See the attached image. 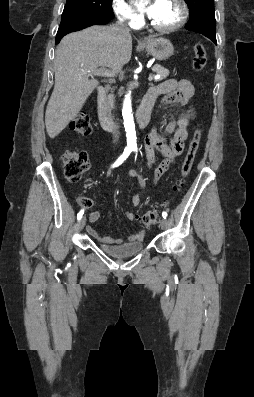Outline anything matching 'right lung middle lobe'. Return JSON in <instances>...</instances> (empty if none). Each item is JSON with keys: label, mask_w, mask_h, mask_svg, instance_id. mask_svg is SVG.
<instances>
[{"label": "right lung middle lobe", "mask_w": 254, "mask_h": 397, "mask_svg": "<svg viewBox=\"0 0 254 397\" xmlns=\"http://www.w3.org/2000/svg\"><path fill=\"white\" fill-rule=\"evenodd\" d=\"M75 8L94 15L112 14V0H67L65 8Z\"/></svg>", "instance_id": "1"}]
</instances>
